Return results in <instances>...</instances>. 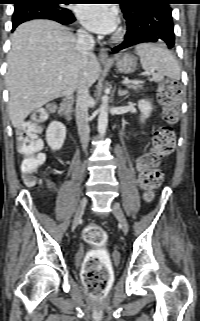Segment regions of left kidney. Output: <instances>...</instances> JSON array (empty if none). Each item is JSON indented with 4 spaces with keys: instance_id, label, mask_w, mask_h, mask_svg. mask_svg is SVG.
I'll return each instance as SVG.
<instances>
[{
    "instance_id": "5707ae66",
    "label": "left kidney",
    "mask_w": 200,
    "mask_h": 321,
    "mask_svg": "<svg viewBox=\"0 0 200 321\" xmlns=\"http://www.w3.org/2000/svg\"><path fill=\"white\" fill-rule=\"evenodd\" d=\"M138 107L141 112L140 121L144 122L150 116L152 105L149 101L142 99L138 102Z\"/></svg>"
}]
</instances>
